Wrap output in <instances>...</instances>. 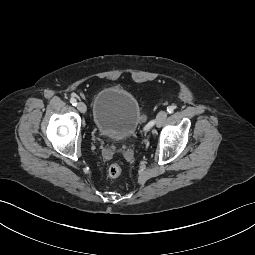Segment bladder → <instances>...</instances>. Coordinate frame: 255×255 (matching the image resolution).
Masks as SVG:
<instances>
[{
    "mask_svg": "<svg viewBox=\"0 0 255 255\" xmlns=\"http://www.w3.org/2000/svg\"><path fill=\"white\" fill-rule=\"evenodd\" d=\"M92 115L97 132L114 140L132 136L143 119L136 97L118 86H108L97 93Z\"/></svg>",
    "mask_w": 255,
    "mask_h": 255,
    "instance_id": "bladder-1",
    "label": "bladder"
}]
</instances>
